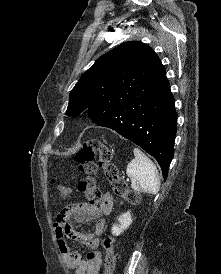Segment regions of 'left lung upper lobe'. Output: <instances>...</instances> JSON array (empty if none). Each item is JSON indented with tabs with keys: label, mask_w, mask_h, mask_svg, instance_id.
Masks as SVG:
<instances>
[{
	"label": "left lung upper lobe",
	"mask_w": 221,
	"mask_h": 274,
	"mask_svg": "<svg viewBox=\"0 0 221 274\" xmlns=\"http://www.w3.org/2000/svg\"><path fill=\"white\" fill-rule=\"evenodd\" d=\"M162 66L157 54L139 41L125 42L102 55L70 92L68 116L96 114L137 97L146 82Z\"/></svg>",
	"instance_id": "obj_1"
}]
</instances>
